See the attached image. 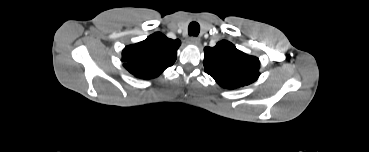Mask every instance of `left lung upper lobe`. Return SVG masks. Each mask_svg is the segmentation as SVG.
I'll list each match as a JSON object with an SVG mask.
<instances>
[{"label": "left lung upper lobe", "instance_id": "1", "mask_svg": "<svg viewBox=\"0 0 369 152\" xmlns=\"http://www.w3.org/2000/svg\"><path fill=\"white\" fill-rule=\"evenodd\" d=\"M205 72L224 88L235 89L251 84L259 77V59L222 40L204 49Z\"/></svg>", "mask_w": 369, "mask_h": 152}]
</instances>
